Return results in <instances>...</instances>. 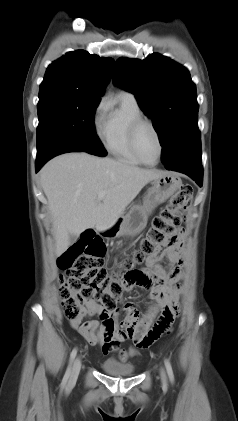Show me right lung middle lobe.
<instances>
[{"label":"right lung middle lobe","instance_id":"obj_1","mask_svg":"<svg viewBox=\"0 0 238 421\" xmlns=\"http://www.w3.org/2000/svg\"><path fill=\"white\" fill-rule=\"evenodd\" d=\"M101 98L78 92L40 90L37 105V148L48 138L59 136L85 152L106 156L94 127V113Z\"/></svg>","mask_w":238,"mask_h":421}]
</instances>
